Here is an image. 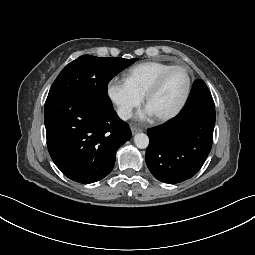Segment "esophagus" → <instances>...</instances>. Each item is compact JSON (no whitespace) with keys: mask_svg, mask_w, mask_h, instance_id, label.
Instances as JSON below:
<instances>
[{"mask_svg":"<svg viewBox=\"0 0 255 255\" xmlns=\"http://www.w3.org/2000/svg\"><path fill=\"white\" fill-rule=\"evenodd\" d=\"M140 131H141V129H139V128H136V127L131 128V132H132L133 135L140 132Z\"/></svg>","mask_w":255,"mask_h":255,"instance_id":"obj_1","label":"esophagus"}]
</instances>
